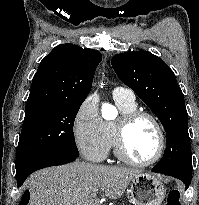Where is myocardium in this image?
Masks as SVG:
<instances>
[{
	"mask_svg": "<svg viewBox=\"0 0 199 205\" xmlns=\"http://www.w3.org/2000/svg\"><path fill=\"white\" fill-rule=\"evenodd\" d=\"M139 119L150 120L158 132V148L155 155L147 161L134 160L126 151L125 134L127 129ZM114 149L116 156L124 163L135 167H147L161 159L166 148V135L163 125L159 119L152 113L146 111L135 110L123 113L114 123Z\"/></svg>",
	"mask_w": 199,
	"mask_h": 205,
	"instance_id": "f54148a6",
	"label": "myocardium"
}]
</instances>
